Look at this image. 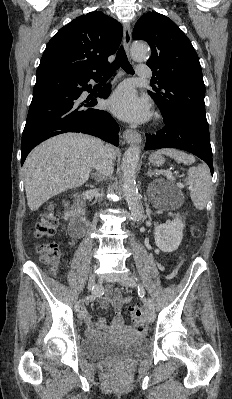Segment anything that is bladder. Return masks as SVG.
<instances>
[{
    "label": "bladder",
    "instance_id": "31cf9c89",
    "mask_svg": "<svg viewBox=\"0 0 232 399\" xmlns=\"http://www.w3.org/2000/svg\"><path fill=\"white\" fill-rule=\"evenodd\" d=\"M148 341L137 340L132 343L118 344L96 338H84L79 344V353L85 359L136 358L147 353Z\"/></svg>",
    "mask_w": 232,
    "mask_h": 399
}]
</instances>
